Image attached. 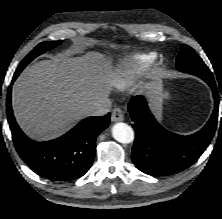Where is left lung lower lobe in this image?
Here are the masks:
<instances>
[{
    "label": "left lung lower lobe",
    "instance_id": "left-lung-lower-lobe-1",
    "mask_svg": "<svg viewBox=\"0 0 222 219\" xmlns=\"http://www.w3.org/2000/svg\"><path fill=\"white\" fill-rule=\"evenodd\" d=\"M196 76L212 88L215 109L208 123L193 135H177L160 126L143 96H136L129 102L128 110L136 133L132 161L145 174L167 176L190 167L212 140L218 123L220 96L212 74L200 73Z\"/></svg>",
    "mask_w": 222,
    "mask_h": 219
}]
</instances>
